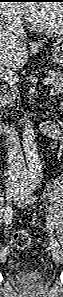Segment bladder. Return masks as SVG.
I'll use <instances>...</instances> for the list:
<instances>
[{"label": "bladder", "mask_w": 63, "mask_h": 297, "mask_svg": "<svg viewBox=\"0 0 63 297\" xmlns=\"http://www.w3.org/2000/svg\"><path fill=\"white\" fill-rule=\"evenodd\" d=\"M41 276L42 275L36 271L16 273V278L18 280H24V279L39 280L41 278Z\"/></svg>", "instance_id": "obj_1"}]
</instances>
